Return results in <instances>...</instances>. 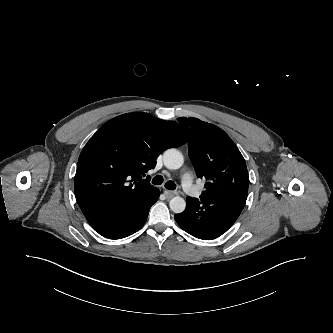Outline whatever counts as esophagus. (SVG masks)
Returning a JSON list of instances; mask_svg holds the SVG:
<instances>
[{
  "label": "esophagus",
  "instance_id": "obj_1",
  "mask_svg": "<svg viewBox=\"0 0 333 333\" xmlns=\"http://www.w3.org/2000/svg\"><path fill=\"white\" fill-rule=\"evenodd\" d=\"M177 193L174 191H170V190H165V195L168 199L174 197Z\"/></svg>",
  "mask_w": 333,
  "mask_h": 333
}]
</instances>
